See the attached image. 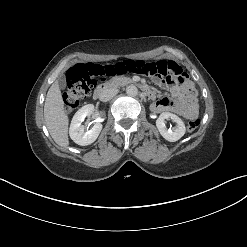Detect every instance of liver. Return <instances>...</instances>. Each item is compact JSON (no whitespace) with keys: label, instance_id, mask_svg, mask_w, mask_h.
<instances>
[{"label":"liver","instance_id":"liver-1","mask_svg":"<svg viewBox=\"0 0 247 247\" xmlns=\"http://www.w3.org/2000/svg\"><path fill=\"white\" fill-rule=\"evenodd\" d=\"M44 118L54 141L59 146L67 148L69 145V119L64 108L58 82H54L48 90L44 105Z\"/></svg>","mask_w":247,"mask_h":247}]
</instances>
